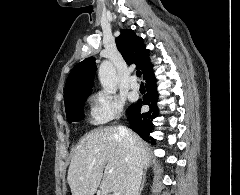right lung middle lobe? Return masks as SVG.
<instances>
[{
    "label": "right lung middle lobe",
    "instance_id": "1",
    "mask_svg": "<svg viewBox=\"0 0 240 195\" xmlns=\"http://www.w3.org/2000/svg\"><path fill=\"white\" fill-rule=\"evenodd\" d=\"M85 101L86 98H80L72 101L69 105L65 106L67 120L69 123L81 121L84 119L83 108ZM132 107L133 105H131L128 110Z\"/></svg>",
    "mask_w": 240,
    "mask_h": 195
}]
</instances>
